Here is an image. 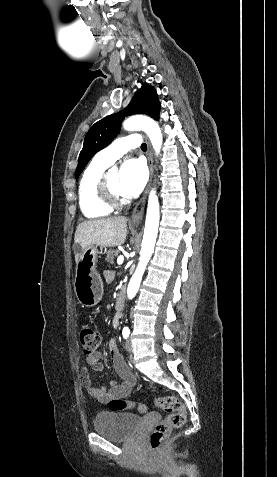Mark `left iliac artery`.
Wrapping results in <instances>:
<instances>
[{"instance_id": "left-iliac-artery-1", "label": "left iliac artery", "mask_w": 277, "mask_h": 477, "mask_svg": "<svg viewBox=\"0 0 277 477\" xmlns=\"http://www.w3.org/2000/svg\"><path fill=\"white\" fill-rule=\"evenodd\" d=\"M122 334H123V337L126 339L128 338L129 334H130V331L128 328H124L123 331H122Z\"/></svg>"}]
</instances>
